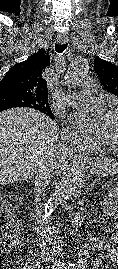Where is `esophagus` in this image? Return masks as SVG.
Instances as JSON below:
<instances>
[{
	"label": "esophagus",
	"instance_id": "obj_1",
	"mask_svg": "<svg viewBox=\"0 0 118 269\" xmlns=\"http://www.w3.org/2000/svg\"><path fill=\"white\" fill-rule=\"evenodd\" d=\"M67 41H68V39L66 37H59V39H58V43H60V44H64ZM85 160H86L85 155H83V154H76L75 157H74L73 162L74 163H80V162L85 161Z\"/></svg>",
	"mask_w": 118,
	"mask_h": 269
}]
</instances>
